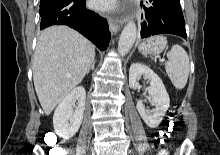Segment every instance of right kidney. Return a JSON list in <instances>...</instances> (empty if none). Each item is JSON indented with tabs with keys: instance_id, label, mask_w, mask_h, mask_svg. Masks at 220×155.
<instances>
[{
	"instance_id": "right-kidney-1",
	"label": "right kidney",
	"mask_w": 220,
	"mask_h": 155,
	"mask_svg": "<svg viewBox=\"0 0 220 155\" xmlns=\"http://www.w3.org/2000/svg\"><path fill=\"white\" fill-rule=\"evenodd\" d=\"M85 100V89L79 86L60 102L53 115V126L58 136L69 139L77 133L83 120ZM76 101L77 107L73 111L72 106Z\"/></svg>"
}]
</instances>
